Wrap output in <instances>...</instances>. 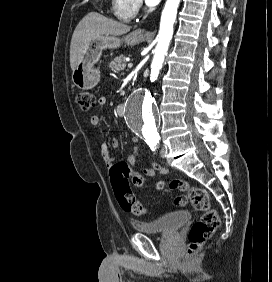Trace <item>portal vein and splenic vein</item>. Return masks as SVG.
<instances>
[{
  "label": "portal vein and splenic vein",
  "mask_w": 272,
  "mask_h": 282,
  "mask_svg": "<svg viewBox=\"0 0 272 282\" xmlns=\"http://www.w3.org/2000/svg\"><path fill=\"white\" fill-rule=\"evenodd\" d=\"M133 67L132 63H128V68L131 69Z\"/></svg>",
  "instance_id": "portal-vein-and-splenic-vein-1"
}]
</instances>
